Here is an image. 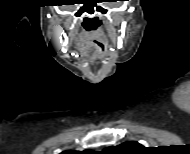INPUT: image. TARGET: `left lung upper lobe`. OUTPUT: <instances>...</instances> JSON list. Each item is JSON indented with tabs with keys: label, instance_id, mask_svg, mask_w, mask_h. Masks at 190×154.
<instances>
[{
	"label": "left lung upper lobe",
	"instance_id": "1",
	"mask_svg": "<svg viewBox=\"0 0 190 154\" xmlns=\"http://www.w3.org/2000/svg\"><path fill=\"white\" fill-rule=\"evenodd\" d=\"M106 151H116V152H123V153H133L136 151L144 150V147L139 144L138 142H126L116 147H109L105 149Z\"/></svg>",
	"mask_w": 190,
	"mask_h": 154
}]
</instances>
